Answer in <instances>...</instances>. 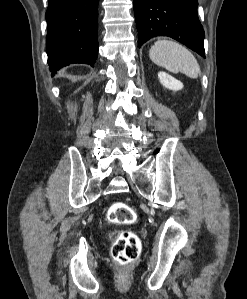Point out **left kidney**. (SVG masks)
<instances>
[{"label": "left kidney", "instance_id": "left-kidney-1", "mask_svg": "<svg viewBox=\"0 0 247 299\" xmlns=\"http://www.w3.org/2000/svg\"><path fill=\"white\" fill-rule=\"evenodd\" d=\"M158 78L160 80V83L167 89L178 91L183 88V84L180 81L166 72L160 71L158 73Z\"/></svg>", "mask_w": 247, "mask_h": 299}]
</instances>
